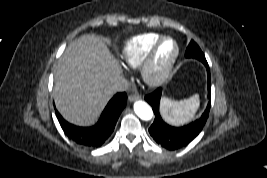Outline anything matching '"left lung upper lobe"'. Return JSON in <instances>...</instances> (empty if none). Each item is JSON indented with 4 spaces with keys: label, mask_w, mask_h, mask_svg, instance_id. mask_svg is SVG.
I'll list each match as a JSON object with an SVG mask.
<instances>
[{
    "label": "left lung upper lobe",
    "mask_w": 267,
    "mask_h": 178,
    "mask_svg": "<svg viewBox=\"0 0 267 178\" xmlns=\"http://www.w3.org/2000/svg\"><path fill=\"white\" fill-rule=\"evenodd\" d=\"M185 56L187 58H196L203 62L204 64L207 63L205 56L199 46L192 40L189 44V46L186 49Z\"/></svg>",
    "instance_id": "left-lung-upper-lobe-1"
}]
</instances>
